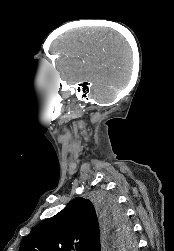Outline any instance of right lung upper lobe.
I'll list each match as a JSON object with an SVG mask.
<instances>
[{
  "label": "right lung upper lobe",
  "mask_w": 174,
  "mask_h": 251,
  "mask_svg": "<svg viewBox=\"0 0 174 251\" xmlns=\"http://www.w3.org/2000/svg\"><path fill=\"white\" fill-rule=\"evenodd\" d=\"M95 204L82 197L36 225L19 251H101L105 230Z\"/></svg>",
  "instance_id": "obj_1"
}]
</instances>
